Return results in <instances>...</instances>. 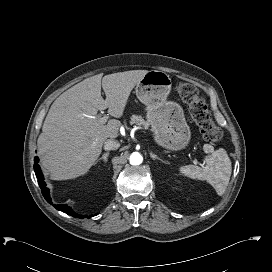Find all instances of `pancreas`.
<instances>
[{"instance_id":"pancreas-1","label":"pancreas","mask_w":272,"mask_h":272,"mask_svg":"<svg viewBox=\"0 0 272 272\" xmlns=\"http://www.w3.org/2000/svg\"><path fill=\"white\" fill-rule=\"evenodd\" d=\"M130 124L140 125L145 128L148 127V122L146 120H144V118L140 115H132L131 120H130Z\"/></svg>"}]
</instances>
